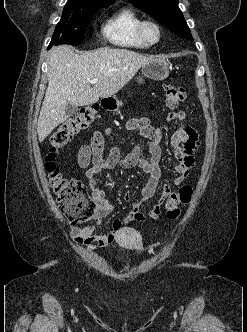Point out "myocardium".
<instances>
[{
	"instance_id": "f54148a6",
	"label": "myocardium",
	"mask_w": 247,
	"mask_h": 332,
	"mask_svg": "<svg viewBox=\"0 0 247 332\" xmlns=\"http://www.w3.org/2000/svg\"><path fill=\"white\" fill-rule=\"evenodd\" d=\"M148 26L153 27L156 30L157 33V37L155 40H150L148 39L147 35H146V28ZM138 36L139 38L147 45V46H152L157 44L158 42H160L161 38H162V29L160 27V25L153 21V20H142L140 22V24L138 25Z\"/></svg>"
}]
</instances>
